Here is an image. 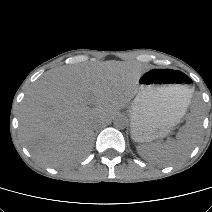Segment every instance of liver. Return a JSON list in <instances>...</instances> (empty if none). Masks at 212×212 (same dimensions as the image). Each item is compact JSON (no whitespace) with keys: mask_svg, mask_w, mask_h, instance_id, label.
<instances>
[{"mask_svg":"<svg viewBox=\"0 0 212 212\" xmlns=\"http://www.w3.org/2000/svg\"><path fill=\"white\" fill-rule=\"evenodd\" d=\"M146 70L137 63L112 60L45 73L20 107L22 142L38 162L50 167L84 158L92 147L94 126L110 121L130 103Z\"/></svg>","mask_w":212,"mask_h":212,"instance_id":"6515ba94","label":"liver"}]
</instances>
